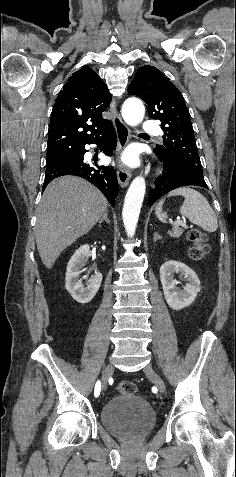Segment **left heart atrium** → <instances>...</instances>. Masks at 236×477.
Segmentation results:
<instances>
[{"mask_svg": "<svg viewBox=\"0 0 236 477\" xmlns=\"http://www.w3.org/2000/svg\"><path fill=\"white\" fill-rule=\"evenodd\" d=\"M121 160L128 164V165H131V166H134L137 164V156L134 152L132 151H127L125 152L122 157H121Z\"/></svg>", "mask_w": 236, "mask_h": 477, "instance_id": "39dd6f15", "label": "left heart atrium"}]
</instances>
